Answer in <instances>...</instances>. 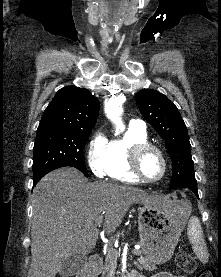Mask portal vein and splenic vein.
I'll list each match as a JSON object with an SVG mask.
<instances>
[{"mask_svg": "<svg viewBox=\"0 0 221 277\" xmlns=\"http://www.w3.org/2000/svg\"><path fill=\"white\" fill-rule=\"evenodd\" d=\"M102 220H103V217H102V216H100L99 218H97V219L95 220V225H100V224L102 223ZM133 251H135V249H134ZM133 251H132V252H133Z\"/></svg>", "mask_w": 221, "mask_h": 277, "instance_id": "1", "label": "portal vein and splenic vein"}]
</instances>
